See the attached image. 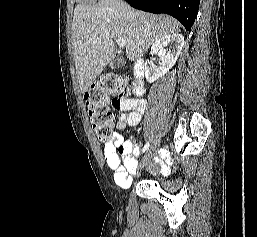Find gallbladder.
<instances>
[{
  "label": "gallbladder",
  "mask_w": 257,
  "mask_h": 237,
  "mask_svg": "<svg viewBox=\"0 0 257 237\" xmlns=\"http://www.w3.org/2000/svg\"><path fill=\"white\" fill-rule=\"evenodd\" d=\"M123 64V59L117 58L113 63V68L120 67Z\"/></svg>",
  "instance_id": "bac80fb5"
}]
</instances>
